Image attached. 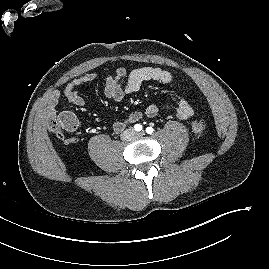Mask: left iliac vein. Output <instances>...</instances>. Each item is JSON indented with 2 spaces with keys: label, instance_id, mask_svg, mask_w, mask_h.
I'll use <instances>...</instances> for the list:
<instances>
[{
  "label": "left iliac vein",
  "instance_id": "1",
  "mask_svg": "<svg viewBox=\"0 0 269 269\" xmlns=\"http://www.w3.org/2000/svg\"><path fill=\"white\" fill-rule=\"evenodd\" d=\"M143 135V132H141V133H138V136H142Z\"/></svg>",
  "mask_w": 269,
  "mask_h": 269
}]
</instances>
